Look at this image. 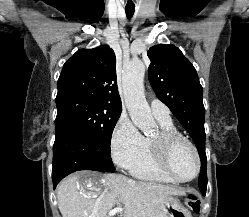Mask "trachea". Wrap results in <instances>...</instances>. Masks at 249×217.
<instances>
[{"label": "trachea", "instance_id": "1", "mask_svg": "<svg viewBox=\"0 0 249 217\" xmlns=\"http://www.w3.org/2000/svg\"><path fill=\"white\" fill-rule=\"evenodd\" d=\"M135 11V6H126L125 7V12H126V16L128 19H130Z\"/></svg>", "mask_w": 249, "mask_h": 217}]
</instances>
